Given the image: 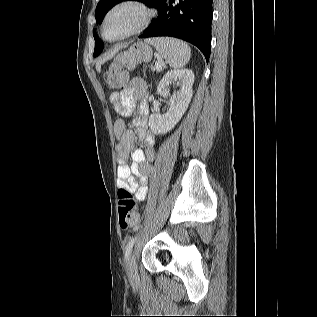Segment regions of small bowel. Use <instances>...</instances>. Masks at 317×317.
Wrapping results in <instances>:
<instances>
[{"mask_svg":"<svg viewBox=\"0 0 317 317\" xmlns=\"http://www.w3.org/2000/svg\"><path fill=\"white\" fill-rule=\"evenodd\" d=\"M110 102L117 113L122 117L113 125L117 153L118 186L134 193L138 201H144L148 193L150 162L154 160L155 136L148 129L149 106L147 101V84L140 78L131 79L123 90L114 92ZM136 109L133 120L135 131L127 129L124 117H129ZM142 140L146 149H135V139ZM131 156L132 163L128 165L127 159ZM138 177L139 182L135 180Z\"/></svg>","mask_w":317,"mask_h":317,"instance_id":"small-bowel-1","label":"small bowel"}]
</instances>
